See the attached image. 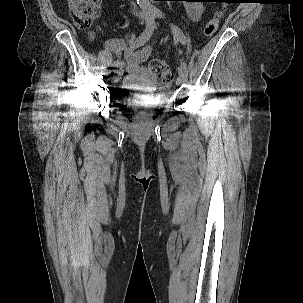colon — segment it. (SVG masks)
<instances>
[{
    "label": "colon",
    "instance_id": "5ec220e1",
    "mask_svg": "<svg viewBox=\"0 0 303 303\" xmlns=\"http://www.w3.org/2000/svg\"><path fill=\"white\" fill-rule=\"evenodd\" d=\"M101 0H68L69 10L74 18L75 24L81 29L92 27L95 18L100 11ZM223 2V1H222ZM221 11H217L205 24L204 34L212 36L219 25ZM150 72L155 76L158 84L166 86L173 80V74L169 66L160 59H153L149 64Z\"/></svg>",
    "mask_w": 303,
    "mask_h": 303
}]
</instances>
